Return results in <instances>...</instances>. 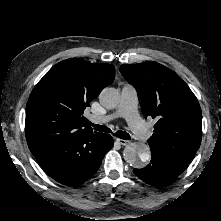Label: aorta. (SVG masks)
I'll return each instance as SVG.
<instances>
[{
  "mask_svg": "<svg viewBox=\"0 0 221 221\" xmlns=\"http://www.w3.org/2000/svg\"><path fill=\"white\" fill-rule=\"evenodd\" d=\"M99 101L107 109L118 106L120 94L114 88H105L99 95ZM124 160L133 167L141 168L150 159V149L145 144L129 143L123 150Z\"/></svg>",
  "mask_w": 221,
  "mask_h": 221,
  "instance_id": "1",
  "label": "aorta"
}]
</instances>
